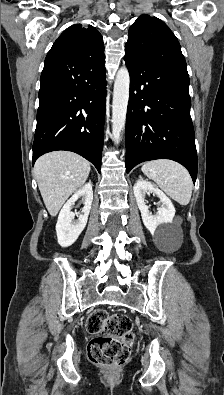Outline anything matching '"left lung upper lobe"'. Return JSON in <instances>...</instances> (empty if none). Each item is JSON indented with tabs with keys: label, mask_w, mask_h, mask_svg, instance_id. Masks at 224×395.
<instances>
[{
	"label": "left lung upper lobe",
	"mask_w": 224,
	"mask_h": 395,
	"mask_svg": "<svg viewBox=\"0 0 224 395\" xmlns=\"http://www.w3.org/2000/svg\"><path fill=\"white\" fill-rule=\"evenodd\" d=\"M125 52L188 75L177 38L169 27L156 17L145 14L131 25Z\"/></svg>",
	"instance_id": "1"
}]
</instances>
